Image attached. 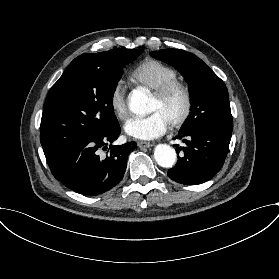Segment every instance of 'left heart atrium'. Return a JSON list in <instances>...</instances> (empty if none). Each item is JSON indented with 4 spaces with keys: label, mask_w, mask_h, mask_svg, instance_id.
<instances>
[{
    "label": "left heart atrium",
    "mask_w": 279,
    "mask_h": 279,
    "mask_svg": "<svg viewBox=\"0 0 279 279\" xmlns=\"http://www.w3.org/2000/svg\"><path fill=\"white\" fill-rule=\"evenodd\" d=\"M170 123L160 111H154L145 117H134L124 126L125 133L137 140L152 141L163 136Z\"/></svg>",
    "instance_id": "left-heart-atrium-1"
}]
</instances>
